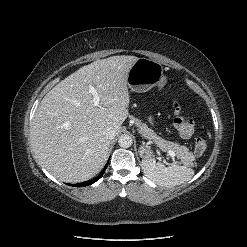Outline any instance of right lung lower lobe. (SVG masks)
I'll return each instance as SVG.
<instances>
[{
    "label": "right lung lower lobe",
    "mask_w": 247,
    "mask_h": 247,
    "mask_svg": "<svg viewBox=\"0 0 247 247\" xmlns=\"http://www.w3.org/2000/svg\"><path fill=\"white\" fill-rule=\"evenodd\" d=\"M107 166H108V163L105 165V168L102 170V172L97 177H95L94 179L89 180V181H85V182H82V183H78V184H72V186L85 187V186L93 184L94 182H96L97 180H99L102 177V175L105 172Z\"/></svg>",
    "instance_id": "obj_1"
}]
</instances>
